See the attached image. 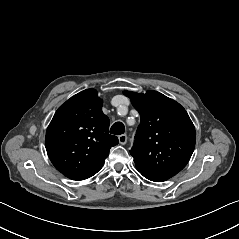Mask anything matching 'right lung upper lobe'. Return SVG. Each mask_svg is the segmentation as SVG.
Segmentation results:
<instances>
[{"instance_id": "right-lung-upper-lobe-1", "label": "right lung upper lobe", "mask_w": 239, "mask_h": 239, "mask_svg": "<svg viewBox=\"0 0 239 239\" xmlns=\"http://www.w3.org/2000/svg\"><path fill=\"white\" fill-rule=\"evenodd\" d=\"M95 89L84 90L61 105L46 132L47 154L64 176L85 180L103 166L112 146L119 143L108 133L109 118Z\"/></svg>"}]
</instances>
